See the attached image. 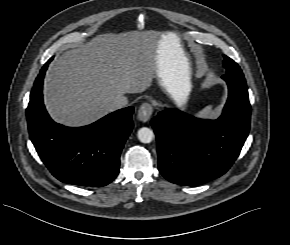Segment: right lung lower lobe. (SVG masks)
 Instances as JSON below:
<instances>
[{"instance_id": "1", "label": "right lung lower lobe", "mask_w": 290, "mask_h": 245, "mask_svg": "<svg viewBox=\"0 0 290 245\" xmlns=\"http://www.w3.org/2000/svg\"><path fill=\"white\" fill-rule=\"evenodd\" d=\"M42 67L26 110L29 135L38 155L60 181L80 186H105L119 173L120 153L130 135L133 107L117 110L95 123L78 128L55 123L42 98Z\"/></svg>"}]
</instances>
